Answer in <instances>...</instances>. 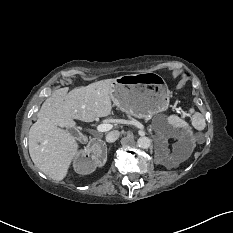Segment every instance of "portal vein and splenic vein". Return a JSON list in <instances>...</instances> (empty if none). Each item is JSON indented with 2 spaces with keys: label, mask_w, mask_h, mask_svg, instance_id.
I'll list each match as a JSON object with an SVG mask.
<instances>
[{
  "label": "portal vein and splenic vein",
  "mask_w": 233,
  "mask_h": 233,
  "mask_svg": "<svg viewBox=\"0 0 233 233\" xmlns=\"http://www.w3.org/2000/svg\"><path fill=\"white\" fill-rule=\"evenodd\" d=\"M98 132H107L112 129L111 124H100L96 127Z\"/></svg>",
  "instance_id": "1"
}]
</instances>
